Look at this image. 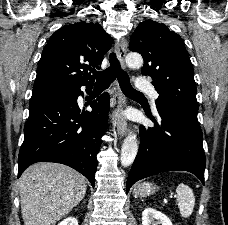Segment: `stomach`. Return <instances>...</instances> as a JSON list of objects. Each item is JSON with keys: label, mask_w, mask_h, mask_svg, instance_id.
<instances>
[{"label": "stomach", "mask_w": 228, "mask_h": 225, "mask_svg": "<svg viewBox=\"0 0 228 225\" xmlns=\"http://www.w3.org/2000/svg\"><path fill=\"white\" fill-rule=\"evenodd\" d=\"M156 185H153V183H142V185H137L134 189L135 195L137 197H149V195H153V193H156Z\"/></svg>", "instance_id": "0dacf381"}]
</instances>
